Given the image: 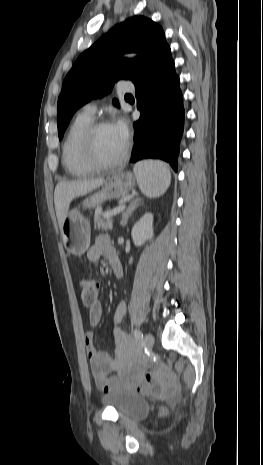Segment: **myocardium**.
<instances>
[{
    "label": "myocardium",
    "instance_id": "1",
    "mask_svg": "<svg viewBox=\"0 0 263 465\" xmlns=\"http://www.w3.org/2000/svg\"><path fill=\"white\" fill-rule=\"evenodd\" d=\"M107 126H111L107 121L92 122L85 129L80 140L82 158L85 163L94 170H109L115 168L123 163L128 154L129 144L126 142L122 153L113 161L104 162L97 157L95 151V136L100 129Z\"/></svg>",
    "mask_w": 263,
    "mask_h": 465
}]
</instances>
